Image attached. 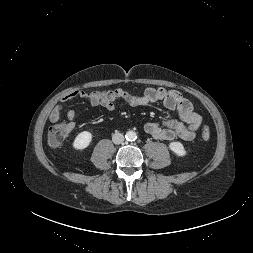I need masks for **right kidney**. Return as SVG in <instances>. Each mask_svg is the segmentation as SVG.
<instances>
[{"label": "right kidney", "mask_w": 253, "mask_h": 253, "mask_svg": "<svg viewBox=\"0 0 253 253\" xmlns=\"http://www.w3.org/2000/svg\"><path fill=\"white\" fill-rule=\"evenodd\" d=\"M91 140L92 133L90 131H83L76 136L73 147L77 150H83L89 146Z\"/></svg>", "instance_id": "ca27d5eb"}]
</instances>
